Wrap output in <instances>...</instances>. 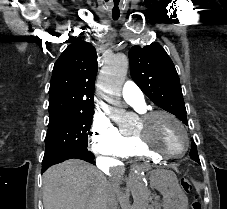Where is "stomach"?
<instances>
[{
	"instance_id": "1",
	"label": "stomach",
	"mask_w": 227,
	"mask_h": 209,
	"mask_svg": "<svg viewBox=\"0 0 227 209\" xmlns=\"http://www.w3.org/2000/svg\"><path fill=\"white\" fill-rule=\"evenodd\" d=\"M153 186L163 195L164 209H187L188 199L173 171L157 169L151 173Z\"/></svg>"
}]
</instances>
